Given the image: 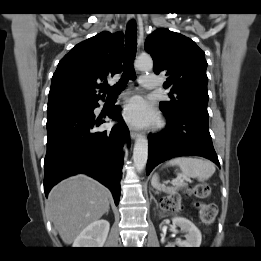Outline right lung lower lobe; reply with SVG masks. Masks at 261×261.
<instances>
[{"label":"right lung lower lobe","instance_id":"obj_1","mask_svg":"<svg viewBox=\"0 0 261 261\" xmlns=\"http://www.w3.org/2000/svg\"><path fill=\"white\" fill-rule=\"evenodd\" d=\"M99 100V99H98ZM98 100L86 108H66L47 113V153L44 160V191L62 179L86 173L108 187L118 205L123 167L122 147L129 142V130L122 120L119 106L108 117L121 124L99 130L105 121L95 118Z\"/></svg>","mask_w":261,"mask_h":261}]
</instances>
